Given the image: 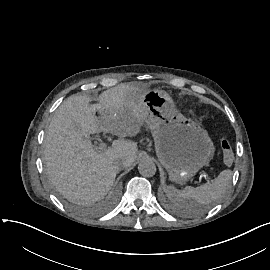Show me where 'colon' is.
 <instances>
[{
  "label": "colon",
  "instance_id": "5ec220e1",
  "mask_svg": "<svg viewBox=\"0 0 270 270\" xmlns=\"http://www.w3.org/2000/svg\"><path fill=\"white\" fill-rule=\"evenodd\" d=\"M220 146L224 151V154L222 156L223 164L226 166L233 165L235 162V156L233 154L231 143L226 138H223L220 140Z\"/></svg>",
  "mask_w": 270,
  "mask_h": 270
}]
</instances>
